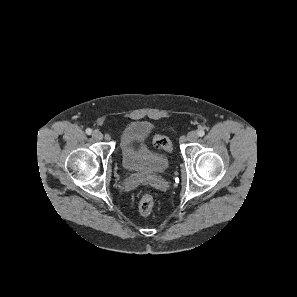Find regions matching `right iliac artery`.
Listing matches in <instances>:
<instances>
[{
	"instance_id": "1",
	"label": "right iliac artery",
	"mask_w": 297,
	"mask_h": 297,
	"mask_svg": "<svg viewBox=\"0 0 297 297\" xmlns=\"http://www.w3.org/2000/svg\"><path fill=\"white\" fill-rule=\"evenodd\" d=\"M86 133H87L88 135H90V134L92 133V129L87 128V129H86Z\"/></svg>"
}]
</instances>
